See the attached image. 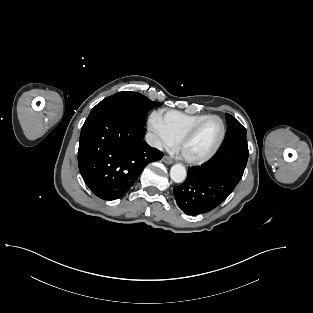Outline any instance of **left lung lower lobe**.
Returning a JSON list of instances; mask_svg holds the SVG:
<instances>
[{"mask_svg":"<svg viewBox=\"0 0 313 313\" xmlns=\"http://www.w3.org/2000/svg\"><path fill=\"white\" fill-rule=\"evenodd\" d=\"M248 154L246 139L224 142L208 162L189 168L185 182L174 188L178 206L189 215L203 214L217 207L242 178Z\"/></svg>","mask_w":313,"mask_h":313,"instance_id":"0a47b994","label":"left lung lower lobe"}]
</instances>
